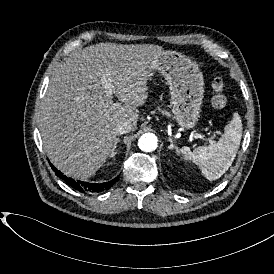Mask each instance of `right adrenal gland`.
<instances>
[{
    "mask_svg": "<svg viewBox=\"0 0 274 274\" xmlns=\"http://www.w3.org/2000/svg\"><path fill=\"white\" fill-rule=\"evenodd\" d=\"M119 141H120L119 138H116V139H115V145H114L113 151H112V153H111V157H114V156L117 154V152H116L115 150H116V147H117V143H118Z\"/></svg>",
    "mask_w": 274,
    "mask_h": 274,
    "instance_id": "obj_1",
    "label": "right adrenal gland"
}]
</instances>
